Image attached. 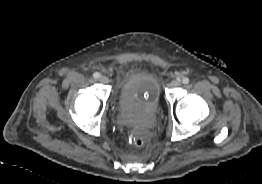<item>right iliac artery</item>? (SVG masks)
<instances>
[{
  "mask_svg": "<svg viewBox=\"0 0 262 184\" xmlns=\"http://www.w3.org/2000/svg\"><path fill=\"white\" fill-rule=\"evenodd\" d=\"M93 77H94L95 79H97V78L100 77V74H99L98 72H95V73L93 74Z\"/></svg>",
  "mask_w": 262,
  "mask_h": 184,
  "instance_id": "right-iliac-artery-1",
  "label": "right iliac artery"
}]
</instances>
